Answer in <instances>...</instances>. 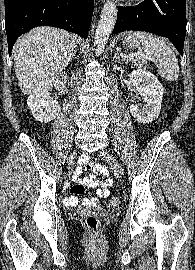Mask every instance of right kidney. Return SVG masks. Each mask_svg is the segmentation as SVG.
Returning <instances> with one entry per match:
<instances>
[{"label": "right kidney", "mask_w": 195, "mask_h": 270, "mask_svg": "<svg viewBox=\"0 0 195 270\" xmlns=\"http://www.w3.org/2000/svg\"><path fill=\"white\" fill-rule=\"evenodd\" d=\"M65 83L66 80L61 77H52L39 84L29 95L27 105L37 121L48 123L58 115L60 106L57 100L50 98V90L53 87L62 89Z\"/></svg>", "instance_id": "obj_1"}]
</instances>
